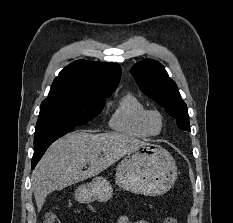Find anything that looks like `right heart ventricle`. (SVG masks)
<instances>
[{
  "label": "right heart ventricle",
  "mask_w": 233,
  "mask_h": 223,
  "mask_svg": "<svg viewBox=\"0 0 233 223\" xmlns=\"http://www.w3.org/2000/svg\"><path fill=\"white\" fill-rule=\"evenodd\" d=\"M147 110L144 102L134 93L123 94L108 116V126L115 132L133 138L147 139L150 135L143 126Z\"/></svg>",
  "instance_id": "e07e8e85"
}]
</instances>
